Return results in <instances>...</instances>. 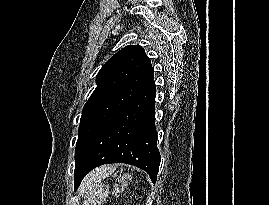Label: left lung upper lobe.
I'll list each match as a JSON object with an SVG mask.
<instances>
[{
	"label": "left lung upper lobe",
	"mask_w": 269,
	"mask_h": 205,
	"mask_svg": "<svg viewBox=\"0 0 269 205\" xmlns=\"http://www.w3.org/2000/svg\"><path fill=\"white\" fill-rule=\"evenodd\" d=\"M153 74L150 59L139 45L122 48L102 66L97 87L82 110L75 165L95 133L153 82Z\"/></svg>",
	"instance_id": "5c2ea615"
}]
</instances>
